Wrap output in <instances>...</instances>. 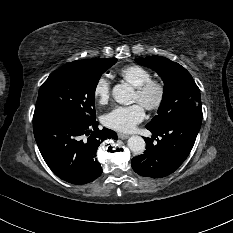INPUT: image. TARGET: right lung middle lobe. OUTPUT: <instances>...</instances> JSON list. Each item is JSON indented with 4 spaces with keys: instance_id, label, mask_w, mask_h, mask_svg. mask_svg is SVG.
I'll return each mask as SVG.
<instances>
[{
    "instance_id": "1",
    "label": "right lung middle lobe",
    "mask_w": 233,
    "mask_h": 233,
    "mask_svg": "<svg viewBox=\"0 0 233 233\" xmlns=\"http://www.w3.org/2000/svg\"><path fill=\"white\" fill-rule=\"evenodd\" d=\"M116 58L75 61L55 70L40 87L34 115L95 119V89Z\"/></svg>"
}]
</instances>
